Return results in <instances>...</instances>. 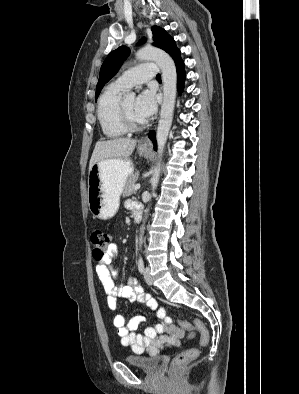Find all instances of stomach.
<instances>
[{"mask_svg":"<svg viewBox=\"0 0 299 394\" xmlns=\"http://www.w3.org/2000/svg\"><path fill=\"white\" fill-rule=\"evenodd\" d=\"M140 155L148 150L139 147ZM134 172L130 159H105L95 163L88 174V206L94 218L109 219L118 211L120 195Z\"/></svg>","mask_w":299,"mask_h":394,"instance_id":"obj_1","label":"stomach"}]
</instances>
